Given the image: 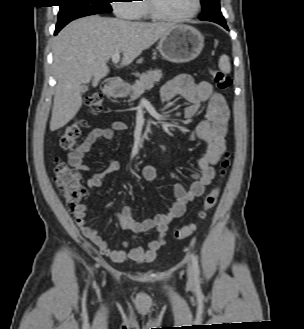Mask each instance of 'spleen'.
Listing matches in <instances>:
<instances>
[{
	"mask_svg": "<svg viewBox=\"0 0 304 329\" xmlns=\"http://www.w3.org/2000/svg\"><path fill=\"white\" fill-rule=\"evenodd\" d=\"M219 68L224 73H230L231 65L229 61V57L227 55H222L219 59Z\"/></svg>",
	"mask_w": 304,
	"mask_h": 329,
	"instance_id": "spleen-1",
	"label": "spleen"
}]
</instances>
